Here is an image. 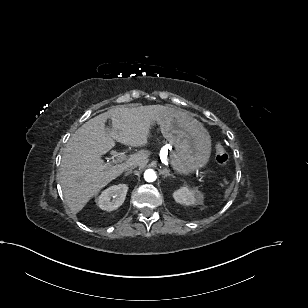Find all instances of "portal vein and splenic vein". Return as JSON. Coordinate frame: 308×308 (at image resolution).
<instances>
[{
  "label": "portal vein and splenic vein",
  "instance_id": "obj_1",
  "mask_svg": "<svg viewBox=\"0 0 308 308\" xmlns=\"http://www.w3.org/2000/svg\"><path fill=\"white\" fill-rule=\"evenodd\" d=\"M117 161L122 162L126 159L131 160V156L127 157L124 153H118L117 155Z\"/></svg>",
  "mask_w": 308,
  "mask_h": 308
}]
</instances>
